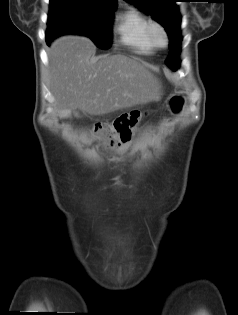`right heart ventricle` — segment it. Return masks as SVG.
Segmentation results:
<instances>
[{"mask_svg": "<svg viewBox=\"0 0 238 315\" xmlns=\"http://www.w3.org/2000/svg\"><path fill=\"white\" fill-rule=\"evenodd\" d=\"M150 20L141 12L130 9L120 19L117 30L121 41L138 53L149 54L155 49L149 35Z\"/></svg>", "mask_w": 238, "mask_h": 315, "instance_id": "e07e8e85", "label": "right heart ventricle"}]
</instances>
